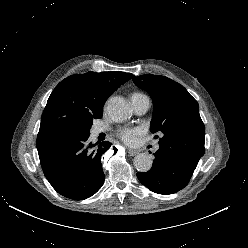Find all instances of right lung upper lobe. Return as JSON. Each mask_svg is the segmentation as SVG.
Listing matches in <instances>:
<instances>
[{
	"label": "right lung upper lobe",
	"instance_id": "1",
	"mask_svg": "<svg viewBox=\"0 0 248 248\" xmlns=\"http://www.w3.org/2000/svg\"><path fill=\"white\" fill-rule=\"evenodd\" d=\"M131 78L132 74L120 71H89L61 81L51 93L43 111L37 149L68 131L83 129L93 119L101 118L107 98Z\"/></svg>",
	"mask_w": 248,
	"mask_h": 248
}]
</instances>
